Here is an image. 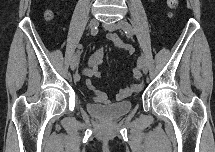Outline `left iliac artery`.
<instances>
[{
  "label": "left iliac artery",
  "instance_id": "left-iliac-artery-1",
  "mask_svg": "<svg viewBox=\"0 0 215 152\" xmlns=\"http://www.w3.org/2000/svg\"><path fill=\"white\" fill-rule=\"evenodd\" d=\"M121 27L123 28V30L125 31V33L127 35H134L135 34L134 29L132 28V26L128 22H126V21L121 22ZM137 60H138V62L136 63V68L141 70L143 68L141 66V64L143 63V56L140 54L137 57Z\"/></svg>",
  "mask_w": 215,
  "mask_h": 152
}]
</instances>
